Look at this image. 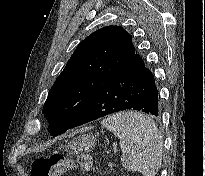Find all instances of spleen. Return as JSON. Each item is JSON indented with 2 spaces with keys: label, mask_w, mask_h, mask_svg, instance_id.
I'll return each mask as SVG.
<instances>
[{
  "label": "spleen",
  "mask_w": 205,
  "mask_h": 176,
  "mask_svg": "<svg viewBox=\"0 0 205 176\" xmlns=\"http://www.w3.org/2000/svg\"><path fill=\"white\" fill-rule=\"evenodd\" d=\"M102 125L120 139L123 167L144 176L156 175L162 163L163 140L153 120L140 112L123 111L108 116Z\"/></svg>",
  "instance_id": "obj_1"
}]
</instances>
